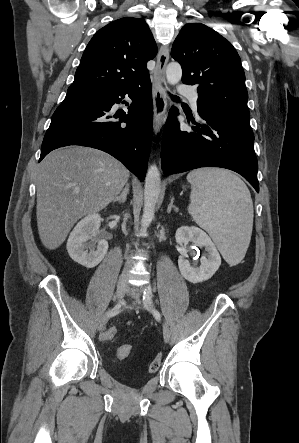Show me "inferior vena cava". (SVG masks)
Returning a JSON list of instances; mask_svg holds the SVG:
<instances>
[{"label": "inferior vena cava", "instance_id": "1", "mask_svg": "<svg viewBox=\"0 0 299 443\" xmlns=\"http://www.w3.org/2000/svg\"><path fill=\"white\" fill-rule=\"evenodd\" d=\"M131 266H132V262H131V260H129V258H128V259H127V262H126V264H125V268H124V271H123V274H122V275L127 274V273H128V270L131 268Z\"/></svg>", "mask_w": 299, "mask_h": 443}]
</instances>
